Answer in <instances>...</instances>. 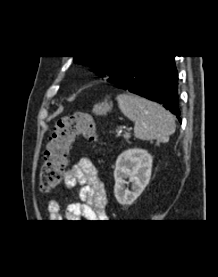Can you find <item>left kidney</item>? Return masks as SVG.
Here are the masks:
<instances>
[{"label": "left kidney", "mask_w": 218, "mask_h": 277, "mask_svg": "<svg viewBox=\"0 0 218 277\" xmlns=\"http://www.w3.org/2000/svg\"><path fill=\"white\" fill-rule=\"evenodd\" d=\"M152 156L143 149H128L121 153L115 164L114 194L122 205L132 204L148 185L152 171ZM126 178L132 183V191L126 189Z\"/></svg>", "instance_id": "5707ae66"}]
</instances>
